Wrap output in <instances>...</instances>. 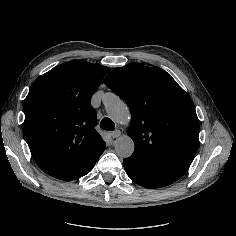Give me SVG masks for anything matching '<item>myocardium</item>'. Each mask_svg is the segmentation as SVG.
<instances>
[{
	"label": "myocardium",
	"mask_w": 236,
	"mask_h": 236,
	"mask_svg": "<svg viewBox=\"0 0 236 236\" xmlns=\"http://www.w3.org/2000/svg\"><path fill=\"white\" fill-rule=\"evenodd\" d=\"M128 117H129V113H128V115L126 116V118L123 119L121 122H125V121L128 119Z\"/></svg>",
	"instance_id": "myocardium-1"
}]
</instances>
